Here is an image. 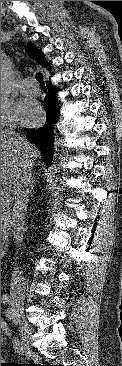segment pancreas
I'll list each match as a JSON object with an SVG mask.
<instances>
[{"label": "pancreas", "instance_id": "obj_1", "mask_svg": "<svg viewBox=\"0 0 122 366\" xmlns=\"http://www.w3.org/2000/svg\"><path fill=\"white\" fill-rule=\"evenodd\" d=\"M10 200L7 201L3 197H1V237L6 239L9 235L8 229V212L7 209L9 208Z\"/></svg>", "mask_w": 122, "mask_h": 366}]
</instances>
